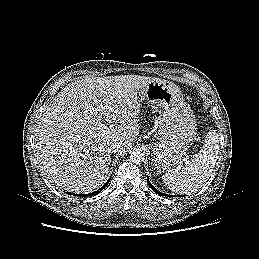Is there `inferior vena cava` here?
I'll list each match as a JSON object with an SVG mask.
<instances>
[{
    "label": "inferior vena cava",
    "instance_id": "602c4592",
    "mask_svg": "<svg viewBox=\"0 0 259 259\" xmlns=\"http://www.w3.org/2000/svg\"><path fill=\"white\" fill-rule=\"evenodd\" d=\"M120 149H121V143L116 142V141L113 142V143H111V145H110V150H111L112 153H116V152H118Z\"/></svg>",
    "mask_w": 259,
    "mask_h": 259
}]
</instances>
